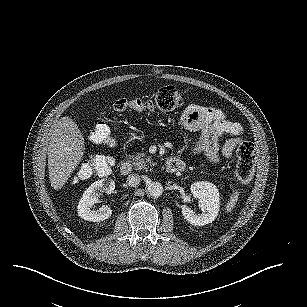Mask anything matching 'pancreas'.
Returning a JSON list of instances; mask_svg holds the SVG:
<instances>
[{
	"label": "pancreas",
	"mask_w": 307,
	"mask_h": 307,
	"mask_svg": "<svg viewBox=\"0 0 307 307\" xmlns=\"http://www.w3.org/2000/svg\"><path fill=\"white\" fill-rule=\"evenodd\" d=\"M136 171L149 170L151 167L155 166L156 163L152 161V157L148 156L146 153L140 152L136 155L129 157Z\"/></svg>",
	"instance_id": "cf45deb5"
}]
</instances>
